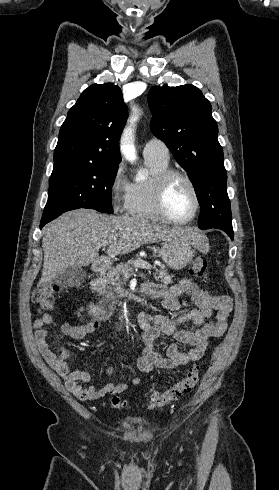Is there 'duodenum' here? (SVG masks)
Segmentation results:
<instances>
[{"instance_id": "obj_1", "label": "duodenum", "mask_w": 279, "mask_h": 490, "mask_svg": "<svg viewBox=\"0 0 279 490\" xmlns=\"http://www.w3.org/2000/svg\"><path fill=\"white\" fill-rule=\"evenodd\" d=\"M104 267L105 263L102 260H97L92 265L95 272L102 271ZM129 294L130 290L128 288L119 287L113 294L103 297L99 302L91 303L89 305V312L95 319L105 320L112 315L116 299L126 297Z\"/></svg>"}]
</instances>
